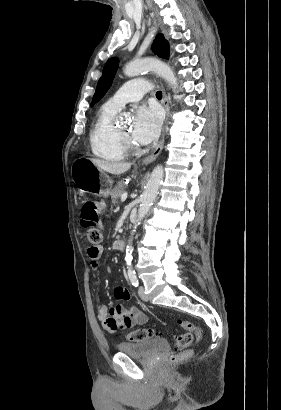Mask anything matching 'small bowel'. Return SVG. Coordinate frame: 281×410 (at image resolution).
Masks as SVG:
<instances>
[{
    "mask_svg": "<svg viewBox=\"0 0 281 410\" xmlns=\"http://www.w3.org/2000/svg\"><path fill=\"white\" fill-rule=\"evenodd\" d=\"M103 253V246H91L88 249L89 263L94 271H97L99 259ZM114 296L118 300L127 301L131 294L129 290L122 286L114 289ZM97 318L102 323L103 328L109 333H116L119 330L130 326L145 324L147 315L135 307H128L125 304H118L115 307L101 305L98 308Z\"/></svg>",
    "mask_w": 281,
    "mask_h": 410,
    "instance_id": "c3829d8e",
    "label": "small bowel"
}]
</instances>
